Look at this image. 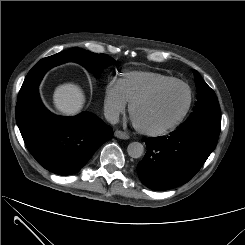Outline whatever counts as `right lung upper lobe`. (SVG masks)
Returning <instances> with one entry per match:
<instances>
[{"label":"right lung upper lobe","instance_id":"cb5924a9","mask_svg":"<svg viewBox=\"0 0 245 245\" xmlns=\"http://www.w3.org/2000/svg\"><path fill=\"white\" fill-rule=\"evenodd\" d=\"M58 65L56 61L52 59V57H46L42 60H40L35 66L37 69V73L33 76H31L30 73L26 76L24 82L27 83L29 82L30 84V91L29 92H34L37 90L38 85L44 76V74L52 67Z\"/></svg>","mask_w":245,"mask_h":245}]
</instances>
